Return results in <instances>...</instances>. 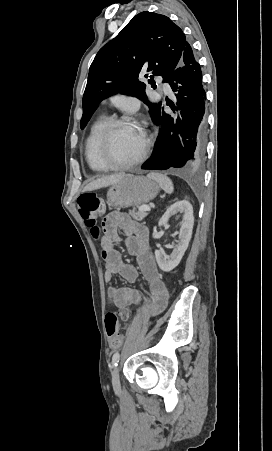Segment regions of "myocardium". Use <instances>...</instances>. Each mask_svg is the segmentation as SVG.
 Returning <instances> with one entry per match:
<instances>
[{"label":"myocardium","mask_w":272,"mask_h":451,"mask_svg":"<svg viewBox=\"0 0 272 451\" xmlns=\"http://www.w3.org/2000/svg\"><path fill=\"white\" fill-rule=\"evenodd\" d=\"M116 125H133L140 130L142 135V140L134 146L128 162H134L142 154L146 147V141L150 139L146 130L141 127V125L136 121H132L128 118L108 119L100 132L97 145L98 157L104 171H115L123 168L122 163L112 164L108 160L110 150V135L113 127H115Z\"/></svg>","instance_id":"myocardium-1"}]
</instances>
